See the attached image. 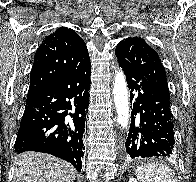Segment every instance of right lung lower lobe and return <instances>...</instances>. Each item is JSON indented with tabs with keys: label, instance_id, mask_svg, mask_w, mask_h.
<instances>
[{
	"label": "right lung lower lobe",
	"instance_id": "1",
	"mask_svg": "<svg viewBox=\"0 0 196 182\" xmlns=\"http://www.w3.org/2000/svg\"><path fill=\"white\" fill-rule=\"evenodd\" d=\"M90 75L88 58L26 102L14 146L16 153H48L81 171Z\"/></svg>",
	"mask_w": 196,
	"mask_h": 182
}]
</instances>
